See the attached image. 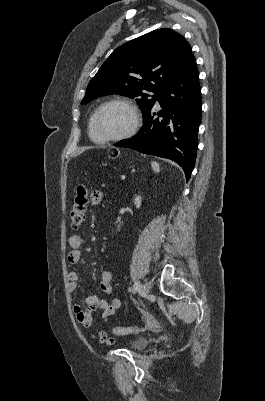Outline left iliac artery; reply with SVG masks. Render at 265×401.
I'll return each mask as SVG.
<instances>
[{
  "mask_svg": "<svg viewBox=\"0 0 265 401\" xmlns=\"http://www.w3.org/2000/svg\"><path fill=\"white\" fill-rule=\"evenodd\" d=\"M141 289V284L139 281L135 282L133 286V292L135 293L136 291H139Z\"/></svg>",
  "mask_w": 265,
  "mask_h": 401,
  "instance_id": "1",
  "label": "left iliac artery"
}]
</instances>
